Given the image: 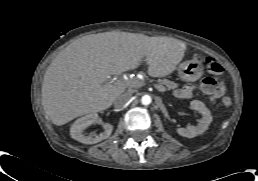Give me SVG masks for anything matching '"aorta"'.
Returning <instances> with one entry per match:
<instances>
[{
    "mask_svg": "<svg viewBox=\"0 0 258 181\" xmlns=\"http://www.w3.org/2000/svg\"><path fill=\"white\" fill-rule=\"evenodd\" d=\"M151 102H152L151 96H149V95H144V96H142V98H141V103H142L143 105H149Z\"/></svg>",
    "mask_w": 258,
    "mask_h": 181,
    "instance_id": "1",
    "label": "aorta"
}]
</instances>
